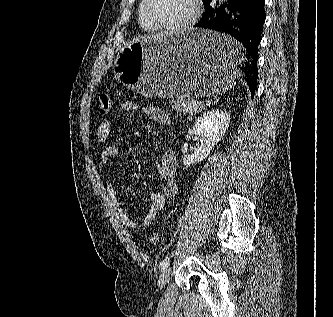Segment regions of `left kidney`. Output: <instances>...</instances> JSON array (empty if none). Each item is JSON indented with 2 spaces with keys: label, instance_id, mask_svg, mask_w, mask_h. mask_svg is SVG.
<instances>
[{
  "label": "left kidney",
  "instance_id": "left-kidney-1",
  "mask_svg": "<svg viewBox=\"0 0 333 317\" xmlns=\"http://www.w3.org/2000/svg\"><path fill=\"white\" fill-rule=\"evenodd\" d=\"M229 123L230 114L224 110L215 109L201 115L193 127V133L202 138L201 144L193 154L184 156L183 165L189 167L206 159L226 133Z\"/></svg>",
  "mask_w": 333,
  "mask_h": 317
}]
</instances>
